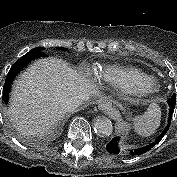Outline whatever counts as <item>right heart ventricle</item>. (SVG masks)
<instances>
[{
    "mask_svg": "<svg viewBox=\"0 0 177 177\" xmlns=\"http://www.w3.org/2000/svg\"><path fill=\"white\" fill-rule=\"evenodd\" d=\"M94 73L97 79L104 81L112 86H124L125 80L129 75H135L138 77H150L136 67L117 64L99 66L95 69Z\"/></svg>",
    "mask_w": 177,
    "mask_h": 177,
    "instance_id": "right-heart-ventricle-1",
    "label": "right heart ventricle"
}]
</instances>
